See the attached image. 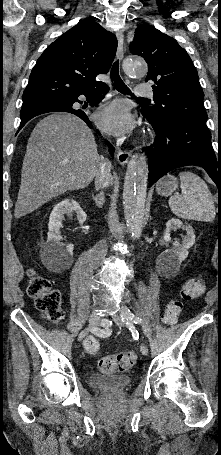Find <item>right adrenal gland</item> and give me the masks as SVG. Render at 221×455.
I'll return each instance as SVG.
<instances>
[{
  "label": "right adrenal gland",
  "instance_id": "2a0ac1e0",
  "mask_svg": "<svg viewBox=\"0 0 221 455\" xmlns=\"http://www.w3.org/2000/svg\"><path fill=\"white\" fill-rule=\"evenodd\" d=\"M92 199L94 200L95 205L98 208H102L103 203H104V193H103V191H101L97 196H94V194H92Z\"/></svg>",
  "mask_w": 221,
  "mask_h": 455
}]
</instances>
